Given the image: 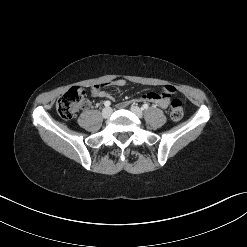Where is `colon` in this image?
<instances>
[{
  "label": "colon",
  "mask_w": 247,
  "mask_h": 247,
  "mask_svg": "<svg viewBox=\"0 0 247 247\" xmlns=\"http://www.w3.org/2000/svg\"><path fill=\"white\" fill-rule=\"evenodd\" d=\"M103 85H95L101 89ZM85 90L81 87H73L63 94L56 103L59 116L65 120L72 119L78 110L84 105ZM184 114L183 104L179 99H174L170 105V117L174 122H179Z\"/></svg>",
  "instance_id": "5ec220e1"
}]
</instances>
